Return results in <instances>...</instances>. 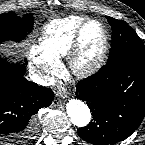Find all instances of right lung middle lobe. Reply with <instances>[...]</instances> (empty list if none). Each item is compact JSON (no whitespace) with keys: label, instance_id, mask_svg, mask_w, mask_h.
Instances as JSON below:
<instances>
[{"label":"right lung middle lobe","instance_id":"right-lung-middle-lobe-1","mask_svg":"<svg viewBox=\"0 0 145 145\" xmlns=\"http://www.w3.org/2000/svg\"><path fill=\"white\" fill-rule=\"evenodd\" d=\"M34 20L31 15L19 17L13 11L0 14V43L8 40L20 41L31 32Z\"/></svg>","mask_w":145,"mask_h":145}]
</instances>
